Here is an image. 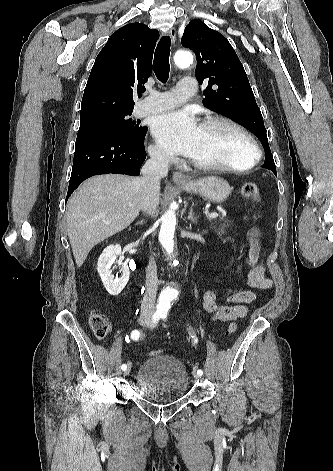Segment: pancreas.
Returning a JSON list of instances; mask_svg holds the SVG:
<instances>
[{"label": "pancreas", "mask_w": 333, "mask_h": 471, "mask_svg": "<svg viewBox=\"0 0 333 471\" xmlns=\"http://www.w3.org/2000/svg\"><path fill=\"white\" fill-rule=\"evenodd\" d=\"M231 225V221L222 216L219 221L211 224L210 228L215 230L218 234H224L226 229Z\"/></svg>", "instance_id": "pancreas-1"}]
</instances>
